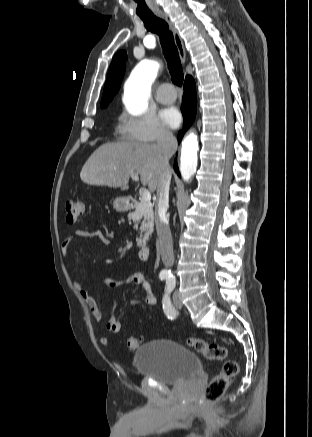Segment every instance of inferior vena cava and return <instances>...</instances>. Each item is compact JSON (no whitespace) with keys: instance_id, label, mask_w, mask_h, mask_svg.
<instances>
[{"instance_id":"1","label":"inferior vena cava","mask_w":312,"mask_h":437,"mask_svg":"<svg viewBox=\"0 0 312 437\" xmlns=\"http://www.w3.org/2000/svg\"><path fill=\"white\" fill-rule=\"evenodd\" d=\"M161 173L157 185L158 202L155 209V224L159 239L160 252L165 267H172L174 263V252L172 235L169 228L167 210L169 207V186L171 172L169 159L177 149V140L167 129H162L157 142Z\"/></svg>"}]
</instances>
